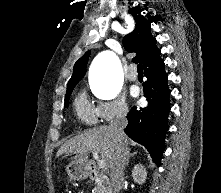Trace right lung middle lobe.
I'll return each mask as SVG.
<instances>
[{"label":"right lung middle lobe","mask_w":221,"mask_h":193,"mask_svg":"<svg viewBox=\"0 0 221 193\" xmlns=\"http://www.w3.org/2000/svg\"><path fill=\"white\" fill-rule=\"evenodd\" d=\"M74 87H75V85L67 87V92H66V96H65V107H68L69 98H70V95H71Z\"/></svg>","instance_id":"dd1d6c3e"}]
</instances>
